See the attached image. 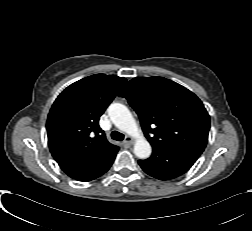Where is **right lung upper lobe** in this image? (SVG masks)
Returning a JSON list of instances; mask_svg holds the SVG:
<instances>
[{"label": "right lung upper lobe", "mask_w": 252, "mask_h": 231, "mask_svg": "<svg viewBox=\"0 0 252 231\" xmlns=\"http://www.w3.org/2000/svg\"><path fill=\"white\" fill-rule=\"evenodd\" d=\"M125 82L115 75L95 74L68 86L52 105L48 145L71 178L90 181L112 165L119 147L107 141L98 121Z\"/></svg>", "instance_id": "obj_1"}]
</instances>
